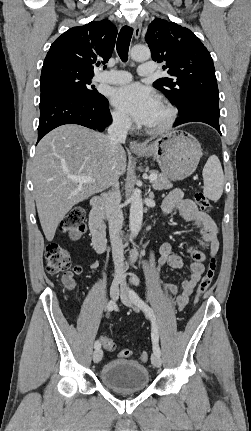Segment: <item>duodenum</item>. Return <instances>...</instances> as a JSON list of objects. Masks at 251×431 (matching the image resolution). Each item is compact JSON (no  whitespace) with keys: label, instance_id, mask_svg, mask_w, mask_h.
Segmentation results:
<instances>
[{"label":"duodenum","instance_id":"duodenum-1","mask_svg":"<svg viewBox=\"0 0 251 431\" xmlns=\"http://www.w3.org/2000/svg\"><path fill=\"white\" fill-rule=\"evenodd\" d=\"M103 199L96 197L91 201V209L89 214V229L92 237L94 249L102 253L106 250V228L103 222Z\"/></svg>","mask_w":251,"mask_h":431}]
</instances>
